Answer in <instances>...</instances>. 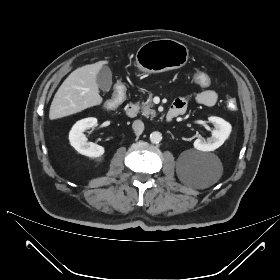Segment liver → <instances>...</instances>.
Returning <instances> with one entry per match:
<instances>
[{
	"label": "liver",
	"instance_id": "6515ba94",
	"mask_svg": "<svg viewBox=\"0 0 280 280\" xmlns=\"http://www.w3.org/2000/svg\"><path fill=\"white\" fill-rule=\"evenodd\" d=\"M108 61H99L74 70L57 90L50 106L51 120L81 112L102 103L96 77Z\"/></svg>",
	"mask_w": 280,
	"mask_h": 280
}]
</instances>
